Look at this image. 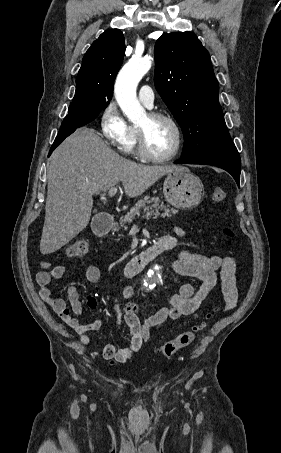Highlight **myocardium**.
I'll list each match as a JSON object with an SVG mask.
<instances>
[{
    "mask_svg": "<svg viewBox=\"0 0 281 453\" xmlns=\"http://www.w3.org/2000/svg\"><path fill=\"white\" fill-rule=\"evenodd\" d=\"M147 118H148V120L150 122H156V121H165V122H167L171 126L173 131H174L175 141L173 143L171 151L167 155H164V156L156 155L148 147L147 136H146L145 130L138 126L137 127V130H138V141H137L138 153L142 157H144V158H146L148 160L154 161V162L162 163V162H167V161L172 160L178 154L180 146H181V142H182V131H181L180 126L178 125V123L176 122V120L174 118H172L171 116L166 115L164 113H159V112L148 113L147 114Z\"/></svg>",
    "mask_w": 281,
    "mask_h": 453,
    "instance_id": "f54148a6",
    "label": "myocardium"
}]
</instances>
